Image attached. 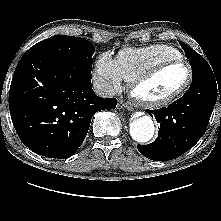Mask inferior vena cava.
<instances>
[{"label": "inferior vena cava", "mask_w": 221, "mask_h": 221, "mask_svg": "<svg viewBox=\"0 0 221 221\" xmlns=\"http://www.w3.org/2000/svg\"><path fill=\"white\" fill-rule=\"evenodd\" d=\"M94 91L97 95L104 98L113 97L115 90L112 85L103 80H95L93 82Z\"/></svg>", "instance_id": "obj_1"}]
</instances>
